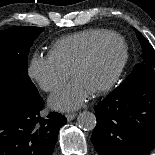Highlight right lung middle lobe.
Listing matches in <instances>:
<instances>
[{
	"label": "right lung middle lobe",
	"instance_id": "1",
	"mask_svg": "<svg viewBox=\"0 0 155 155\" xmlns=\"http://www.w3.org/2000/svg\"><path fill=\"white\" fill-rule=\"evenodd\" d=\"M43 30L21 26L0 31V104L27 106L38 94L27 74V57Z\"/></svg>",
	"mask_w": 155,
	"mask_h": 155
}]
</instances>
